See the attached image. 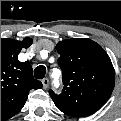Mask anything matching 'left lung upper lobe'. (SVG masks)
<instances>
[{
	"label": "left lung upper lobe",
	"instance_id": "1",
	"mask_svg": "<svg viewBox=\"0 0 121 121\" xmlns=\"http://www.w3.org/2000/svg\"><path fill=\"white\" fill-rule=\"evenodd\" d=\"M58 64L63 72V90L49 94L56 107L73 116H89L110 97L115 74L104 49L90 39H69L57 44Z\"/></svg>",
	"mask_w": 121,
	"mask_h": 121
}]
</instances>
